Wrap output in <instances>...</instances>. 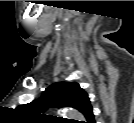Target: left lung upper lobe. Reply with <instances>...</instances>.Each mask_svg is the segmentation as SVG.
I'll list each match as a JSON object with an SVG mask.
<instances>
[{
	"label": "left lung upper lobe",
	"mask_w": 134,
	"mask_h": 123,
	"mask_svg": "<svg viewBox=\"0 0 134 123\" xmlns=\"http://www.w3.org/2000/svg\"><path fill=\"white\" fill-rule=\"evenodd\" d=\"M48 107H72L81 112L88 123L94 120L88 94L76 82L54 83L39 99L24 105L27 112L35 115H41Z\"/></svg>",
	"instance_id": "1"
}]
</instances>
